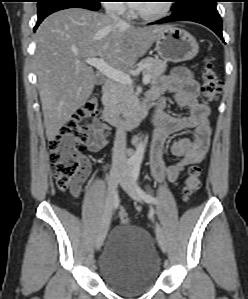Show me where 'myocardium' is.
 Returning a JSON list of instances; mask_svg holds the SVG:
<instances>
[{"mask_svg":"<svg viewBox=\"0 0 248 299\" xmlns=\"http://www.w3.org/2000/svg\"><path fill=\"white\" fill-rule=\"evenodd\" d=\"M172 3L170 0H163L161 7L154 12H145L139 9V6L134 7L135 14L146 21H158L168 16L172 10Z\"/></svg>","mask_w":248,"mask_h":299,"instance_id":"myocardium-1","label":"myocardium"}]
</instances>
